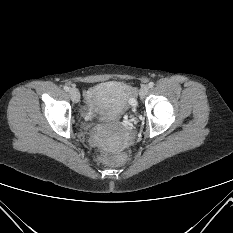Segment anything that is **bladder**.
I'll list each match as a JSON object with an SVG mask.
<instances>
[{
  "instance_id": "bladder-1",
  "label": "bladder",
  "mask_w": 233,
  "mask_h": 233,
  "mask_svg": "<svg viewBox=\"0 0 233 233\" xmlns=\"http://www.w3.org/2000/svg\"><path fill=\"white\" fill-rule=\"evenodd\" d=\"M129 107L128 88L120 82H104L97 85L89 104L93 117L111 121L120 117Z\"/></svg>"
}]
</instances>
